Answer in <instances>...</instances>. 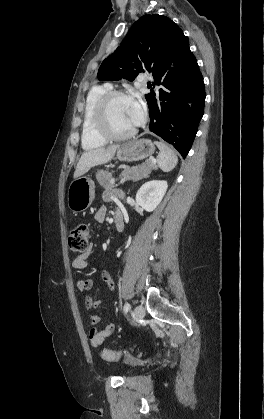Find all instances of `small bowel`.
<instances>
[{
    "mask_svg": "<svg viewBox=\"0 0 264 419\" xmlns=\"http://www.w3.org/2000/svg\"><path fill=\"white\" fill-rule=\"evenodd\" d=\"M106 199L113 202L118 201V197L111 193H108L106 195ZM116 214L122 215L120 211L116 212ZM105 215H106V208L101 207L95 214V220L97 222H103V220L105 219ZM89 255H90V251H86L84 253L77 255L72 261V267L75 269H85L88 266ZM99 276L101 277L103 281L106 282L110 292L112 293L114 291V284L110 275L106 272H101ZM93 284H94V278L92 277L87 278V279H80L76 283L78 290L82 293H85V307L89 312L100 304L99 301H94L88 295V292L92 289ZM89 320H90V325H91V329L89 331V339H90L91 345L93 347H100L107 338H109L110 336L114 334L115 325L113 323H108L104 326H98V324L100 323V317L91 312L89 313Z\"/></svg>",
    "mask_w": 264,
    "mask_h": 419,
    "instance_id": "1",
    "label": "small bowel"
}]
</instances>
